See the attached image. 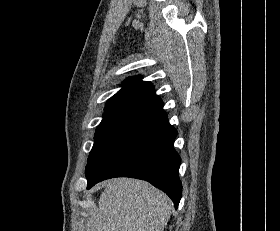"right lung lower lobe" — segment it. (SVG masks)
<instances>
[{
    "label": "right lung lower lobe",
    "mask_w": 280,
    "mask_h": 231,
    "mask_svg": "<svg viewBox=\"0 0 280 231\" xmlns=\"http://www.w3.org/2000/svg\"><path fill=\"white\" fill-rule=\"evenodd\" d=\"M177 130L166 113L134 125L102 148L86 167L87 189L113 177H132L164 191L177 208L182 193L181 158L173 143Z\"/></svg>",
    "instance_id": "98d812e1"
}]
</instances>
